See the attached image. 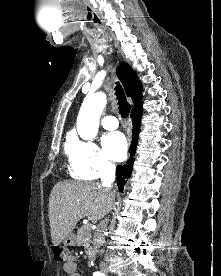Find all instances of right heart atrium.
Wrapping results in <instances>:
<instances>
[{"instance_id":"right-heart-atrium-1","label":"right heart atrium","mask_w":221,"mask_h":276,"mask_svg":"<svg viewBox=\"0 0 221 276\" xmlns=\"http://www.w3.org/2000/svg\"><path fill=\"white\" fill-rule=\"evenodd\" d=\"M68 158L75 178L97 179L111 174L115 166L93 141L74 140L68 148Z\"/></svg>"}]
</instances>
